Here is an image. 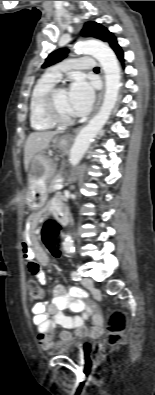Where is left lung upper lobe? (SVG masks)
<instances>
[{
    "label": "left lung upper lobe",
    "instance_id": "1",
    "mask_svg": "<svg viewBox=\"0 0 155 395\" xmlns=\"http://www.w3.org/2000/svg\"><path fill=\"white\" fill-rule=\"evenodd\" d=\"M81 33L82 36L93 37L109 43V45L115 52L121 50L113 33L109 32L101 24H98L96 22H87L85 23ZM67 53H68V49L66 48H61L52 52L46 58L45 63L42 65V67H48L52 64L60 62L62 59H64L67 56Z\"/></svg>",
    "mask_w": 155,
    "mask_h": 395
}]
</instances>
